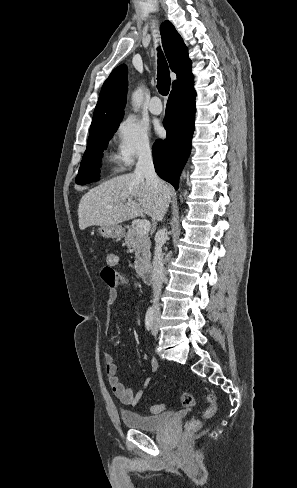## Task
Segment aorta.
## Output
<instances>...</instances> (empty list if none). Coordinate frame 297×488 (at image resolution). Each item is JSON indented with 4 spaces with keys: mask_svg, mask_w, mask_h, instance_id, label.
<instances>
[{
    "mask_svg": "<svg viewBox=\"0 0 297 488\" xmlns=\"http://www.w3.org/2000/svg\"><path fill=\"white\" fill-rule=\"evenodd\" d=\"M143 101V90L141 87H138L133 93H132V106L134 108V111H138L141 104Z\"/></svg>",
    "mask_w": 297,
    "mask_h": 488,
    "instance_id": "1",
    "label": "aorta"
}]
</instances>
